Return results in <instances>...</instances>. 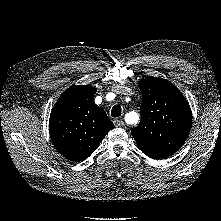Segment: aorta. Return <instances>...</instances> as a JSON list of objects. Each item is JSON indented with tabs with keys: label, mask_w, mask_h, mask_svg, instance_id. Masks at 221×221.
<instances>
[{
	"label": "aorta",
	"mask_w": 221,
	"mask_h": 221,
	"mask_svg": "<svg viewBox=\"0 0 221 221\" xmlns=\"http://www.w3.org/2000/svg\"><path fill=\"white\" fill-rule=\"evenodd\" d=\"M132 115H133V117H134V122L133 123H137L138 122V120H139V116H138V114L137 113H135V112H133V113H131Z\"/></svg>",
	"instance_id": "762f6f07"
}]
</instances>
